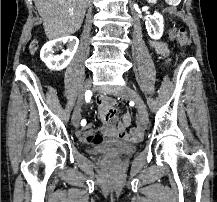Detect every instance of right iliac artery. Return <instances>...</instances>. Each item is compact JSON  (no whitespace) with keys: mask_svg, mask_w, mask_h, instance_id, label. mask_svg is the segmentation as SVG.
Instances as JSON below:
<instances>
[{"mask_svg":"<svg viewBox=\"0 0 217 202\" xmlns=\"http://www.w3.org/2000/svg\"><path fill=\"white\" fill-rule=\"evenodd\" d=\"M91 96H92V93H91L89 90L86 91V92H85V101H86V102H91V101H92ZM81 125H82V126H85V125H86V120H85V119H83V120L81 121Z\"/></svg>","mask_w":217,"mask_h":202,"instance_id":"82829eb1","label":"right iliac artery"}]
</instances>
